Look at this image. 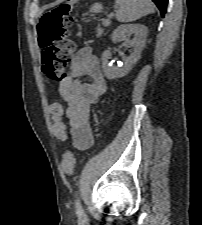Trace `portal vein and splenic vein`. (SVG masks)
<instances>
[{"mask_svg":"<svg viewBox=\"0 0 202 225\" xmlns=\"http://www.w3.org/2000/svg\"><path fill=\"white\" fill-rule=\"evenodd\" d=\"M112 16L111 15H109V17L105 20L108 24H110V18H111Z\"/></svg>","mask_w":202,"mask_h":225,"instance_id":"portal-vein-and-splenic-vein-1","label":"portal vein and splenic vein"}]
</instances>
